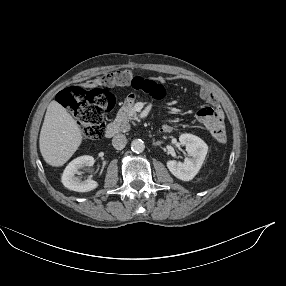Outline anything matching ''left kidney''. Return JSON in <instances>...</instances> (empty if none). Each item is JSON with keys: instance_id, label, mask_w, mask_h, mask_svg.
I'll use <instances>...</instances> for the list:
<instances>
[{"instance_id": "1", "label": "left kidney", "mask_w": 286, "mask_h": 286, "mask_svg": "<svg viewBox=\"0 0 286 286\" xmlns=\"http://www.w3.org/2000/svg\"><path fill=\"white\" fill-rule=\"evenodd\" d=\"M179 141L186 147L189 158H185L183 163L169 160L167 167L176 178L190 181L200 170L208 152V146L202 139L192 134L180 135Z\"/></svg>"}]
</instances>
